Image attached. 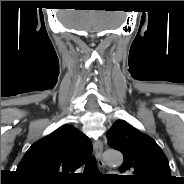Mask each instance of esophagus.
Returning a JSON list of instances; mask_svg holds the SVG:
<instances>
[{
  "instance_id": "esophagus-1",
  "label": "esophagus",
  "mask_w": 184,
  "mask_h": 184,
  "mask_svg": "<svg viewBox=\"0 0 184 184\" xmlns=\"http://www.w3.org/2000/svg\"><path fill=\"white\" fill-rule=\"evenodd\" d=\"M93 152L98 161L100 167L104 166V162L102 160V152H103V143L101 140H96L93 142Z\"/></svg>"
}]
</instances>
